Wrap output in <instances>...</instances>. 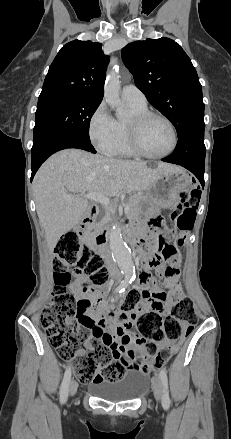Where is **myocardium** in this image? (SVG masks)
Wrapping results in <instances>:
<instances>
[{
	"mask_svg": "<svg viewBox=\"0 0 231 439\" xmlns=\"http://www.w3.org/2000/svg\"><path fill=\"white\" fill-rule=\"evenodd\" d=\"M152 117L160 118L163 121H165L168 124V126L170 127L171 132H172V137H173L172 146L168 151H166L165 153H162V154L149 153L148 151H146L144 149V147L141 143V140H140V132H141L142 126L144 125V123L148 119H150ZM178 140H179L178 133H177V129H176L174 123L172 122V120L169 117H167L163 113H160L157 111L146 110V111L141 112V113L133 114L132 118L128 121L129 145H130L132 151L136 155H139L141 157L149 158V159L166 158L176 150V148L178 146Z\"/></svg>",
	"mask_w": 231,
	"mask_h": 439,
	"instance_id": "f54148a6",
	"label": "myocardium"
}]
</instances>
